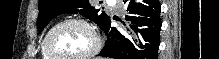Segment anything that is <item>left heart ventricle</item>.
<instances>
[{
	"instance_id": "1",
	"label": "left heart ventricle",
	"mask_w": 219,
	"mask_h": 59,
	"mask_svg": "<svg viewBox=\"0 0 219 59\" xmlns=\"http://www.w3.org/2000/svg\"><path fill=\"white\" fill-rule=\"evenodd\" d=\"M51 46L61 56H78L91 49L93 38L82 25L67 24L54 32Z\"/></svg>"
}]
</instances>
